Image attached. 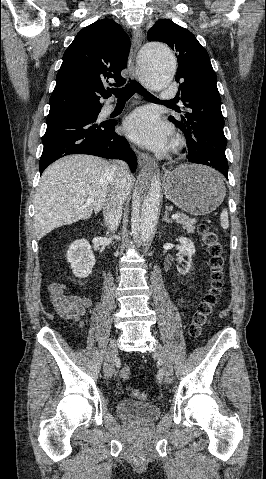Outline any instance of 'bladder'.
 <instances>
[{
  "mask_svg": "<svg viewBox=\"0 0 266 479\" xmlns=\"http://www.w3.org/2000/svg\"><path fill=\"white\" fill-rule=\"evenodd\" d=\"M116 411L122 418L137 424H149L160 416L159 406L147 402L122 400L116 403Z\"/></svg>",
  "mask_w": 266,
  "mask_h": 479,
  "instance_id": "bladder-1",
  "label": "bladder"
}]
</instances>
